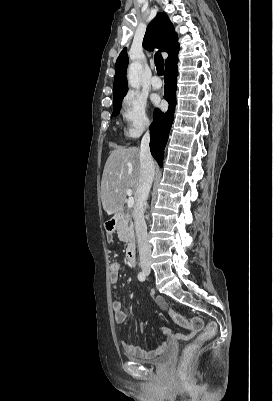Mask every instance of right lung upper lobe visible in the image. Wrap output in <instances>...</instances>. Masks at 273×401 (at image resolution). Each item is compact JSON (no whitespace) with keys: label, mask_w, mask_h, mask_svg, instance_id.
I'll return each instance as SVG.
<instances>
[{"label":"right lung upper lobe","mask_w":273,"mask_h":401,"mask_svg":"<svg viewBox=\"0 0 273 401\" xmlns=\"http://www.w3.org/2000/svg\"><path fill=\"white\" fill-rule=\"evenodd\" d=\"M143 47L148 50H153L154 47H157L161 51L167 52L166 66L178 61V38L173 24L165 12L158 13L155 19L148 25L143 39ZM127 65V49L124 48L116 60V72L113 86V108L121 104L123 97L127 93Z\"/></svg>","instance_id":"cb5924a9"}]
</instances>
